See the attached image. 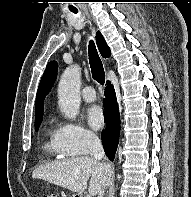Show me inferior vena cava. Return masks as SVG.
<instances>
[{
    "label": "inferior vena cava",
    "mask_w": 191,
    "mask_h": 197,
    "mask_svg": "<svg viewBox=\"0 0 191 197\" xmlns=\"http://www.w3.org/2000/svg\"><path fill=\"white\" fill-rule=\"evenodd\" d=\"M88 146L90 154L94 157V159L101 160L102 158H104L105 152L98 136H96L95 134H90L88 136ZM104 192L105 188L99 192L98 197H104Z\"/></svg>",
    "instance_id": "602c4592"
}]
</instances>
